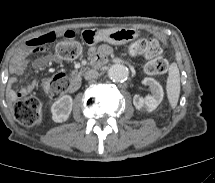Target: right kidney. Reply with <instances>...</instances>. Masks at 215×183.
Masks as SVG:
<instances>
[{
    "instance_id": "ca27d5eb",
    "label": "right kidney",
    "mask_w": 215,
    "mask_h": 183,
    "mask_svg": "<svg viewBox=\"0 0 215 183\" xmlns=\"http://www.w3.org/2000/svg\"><path fill=\"white\" fill-rule=\"evenodd\" d=\"M73 99L70 95H64L51 106L52 119L54 122H65L71 114Z\"/></svg>"
}]
</instances>
